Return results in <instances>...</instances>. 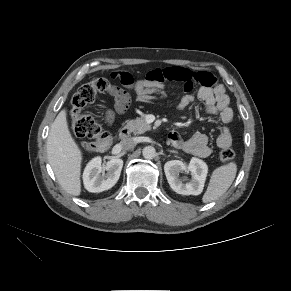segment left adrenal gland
I'll list each match as a JSON object with an SVG mask.
<instances>
[{
	"label": "left adrenal gland",
	"instance_id": "a2214340",
	"mask_svg": "<svg viewBox=\"0 0 291 291\" xmlns=\"http://www.w3.org/2000/svg\"><path fill=\"white\" fill-rule=\"evenodd\" d=\"M170 153H176V151L174 150H168Z\"/></svg>",
	"mask_w": 291,
	"mask_h": 291
}]
</instances>
